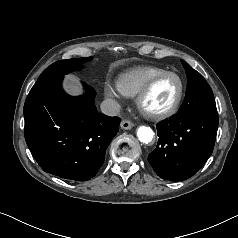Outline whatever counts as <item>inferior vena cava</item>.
Returning a JSON list of instances; mask_svg holds the SVG:
<instances>
[{
	"mask_svg": "<svg viewBox=\"0 0 238 238\" xmlns=\"http://www.w3.org/2000/svg\"><path fill=\"white\" fill-rule=\"evenodd\" d=\"M103 114L108 116H116L120 112L121 106L113 99H105L100 105Z\"/></svg>",
	"mask_w": 238,
	"mask_h": 238,
	"instance_id": "602c4592",
	"label": "inferior vena cava"
}]
</instances>
